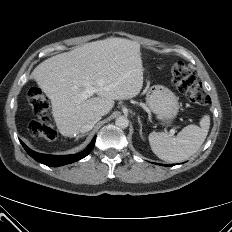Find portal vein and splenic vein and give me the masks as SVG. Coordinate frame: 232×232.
<instances>
[{"instance_id": "portal-vein-and-splenic-vein-1", "label": "portal vein and splenic vein", "mask_w": 232, "mask_h": 232, "mask_svg": "<svg viewBox=\"0 0 232 232\" xmlns=\"http://www.w3.org/2000/svg\"><path fill=\"white\" fill-rule=\"evenodd\" d=\"M95 90L92 87H86V89L81 93L80 100H86L87 98L91 97L94 94ZM175 130H170V135L174 136Z\"/></svg>"}]
</instances>
